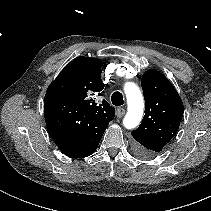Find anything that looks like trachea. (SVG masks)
Returning a JSON list of instances; mask_svg holds the SVG:
<instances>
[{
  "mask_svg": "<svg viewBox=\"0 0 211 211\" xmlns=\"http://www.w3.org/2000/svg\"><path fill=\"white\" fill-rule=\"evenodd\" d=\"M111 101L113 105L121 106L124 104L123 95L120 92L116 91L112 94Z\"/></svg>",
  "mask_w": 211,
  "mask_h": 211,
  "instance_id": "trachea-1",
  "label": "trachea"
}]
</instances>
